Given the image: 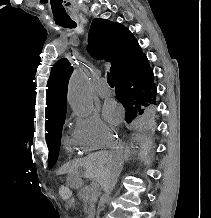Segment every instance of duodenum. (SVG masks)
I'll list each match as a JSON object with an SVG mask.
<instances>
[{"label":"duodenum","mask_w":211,"mask_h":218,"mask_svg":"<svg viewBox=\"0 0 211 218\" xmlns=\"http://www.w3.org/2000/svg\"><path fill=\"white\" fill-rule=\"evenodd\" d=\"M87 216H88V218H92V216H93V210H88Z\"/></svg>","instance_id":"duodenum-1"}]
</instances>
